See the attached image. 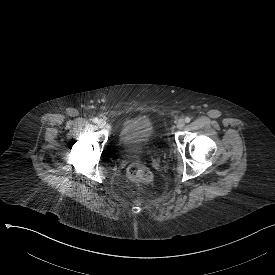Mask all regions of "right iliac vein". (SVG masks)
Masks as SVG:
<instances>
[{"mask_svg": "<svg viewBox=\"0 0 275 275\" xmlns=\"http://www.w3.org/2000/svg\"><path fill=\"white\" fill-rule=\"evenodd\" d=\"M105 125H106V122H105L104 120H99V121H98V126H99L100 128H103Z\"/></svg>", "mask_w": 275, "mask_h": 275, "instance_id": "63e3f726", "label": "right iliac vein"}]
</instances>
